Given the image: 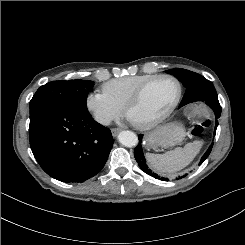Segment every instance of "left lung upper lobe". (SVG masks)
<instances>
[{
	"label": "left lung upper lobe",
	"instance_id": "left-lung-upper-lobe-1",
	"mask_svg": "<svg viewBox=\"0 0 245 245\" xmlns=\"http://www.w3.org/2000/svg\"><path fill=\"white\" fill-rule=\"evenodd\" d=\"M166 72L176 76L186 87L185 95L179 107L195 101L210 99L218 100L217 93L212 82L203 76L181 68L167 70Z\"/></svg>",
	"mask_w": 245,
	"mask_h": 245
}]
</instances>
